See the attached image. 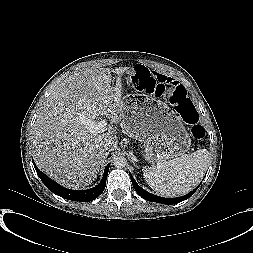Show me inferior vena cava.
<instances>
[{
  "instance_id": "602c4592",
  "label": "inferior vena cava",
  "mask_w": 253,
  "mask_h": 253,
  "mask_svg": "<svg viewBox=\"0 0 253 253\" xmlns=\"http://www.w3.org/2000/svg\"><path fill=\"white\" fill-rule=\"evenodd\" d=\"M104 150H105V151H108V150H112V148L110 147L109 144H105ZM106 153H108V152H106Z\"/></svg>"
}]
</instances>
